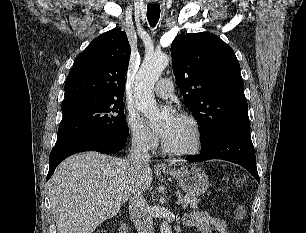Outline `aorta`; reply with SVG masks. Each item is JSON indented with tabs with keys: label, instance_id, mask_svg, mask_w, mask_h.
Segmentation results:
<instances>
[{
	"label": "aorta",
	"instance_id": "obj_1",
	"mask_svg": "<svg viewBox=\"0 0 306 233\" xmlns=\"http://www.w3.org/2000/svg\"><path fill=\"white\" fill-rule=\"evenodd\" d=\"M169 63V57L164 53L147 56L136 76L134 98L138 109L147 117L151 126L158 125L164 115L158 110L153 95V88ZM161 233H172L171 226L163 221Z\"/></svg>",
	"mask_w": 306,
	"mask_h": 233
}]
</instances>
